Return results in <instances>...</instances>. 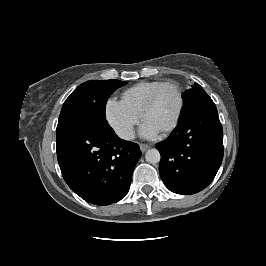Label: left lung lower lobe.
I'll return each mask as SVG.
<instances>
[{"mask_svg":"<svg viewBox=\"0 0 266 266\" xmlns=\"http://www.w3.org/2000/svg\"><path fill=\"white\" fill-rule=\"evenodd\" d=\"M165 186L182 195L197 193L214 179L223 159V129L210 97L187 109L168 139L156 145Z\"/></svg>","mask_w":266,"mask_h":266,"instance_id":"left-lung-lower-lobe-1","label":"left lung lower lobe"}]
</instances>
